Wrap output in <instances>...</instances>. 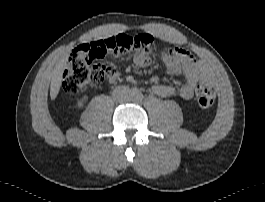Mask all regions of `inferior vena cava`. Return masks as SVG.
<instances>
[{"label": "inferior vena cava", "instance_id": "1", "mask_svg": "<svg viewBox=\"0 0 265 202\" xmlns=\"http://www.w3.org/2000/svg\"><path fill=\"white\" fill-rule=\"evenodd\" d=\"M112 97L116 102H126L130 100L131 91L126 86H118L113 90Z\"/></svg>", "mask_w": 265, "mask_h": 202}]
</instances>
